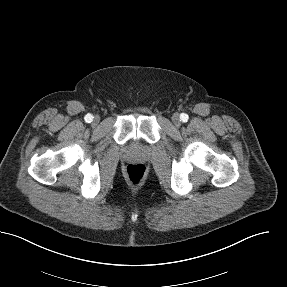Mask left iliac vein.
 I'll use <instances>...</instances> for the list:
<instances>
[{"label": "left iliac vein", "instance_id": "obj_1", "mask_svg": "<svg viewBox=\"0 0 287 287\" xmlns=\"http://www.w3.org/2000/svg\"><path fill=\"white\" fill-rule=\"evenodd\" d=\"M172 122L176 127H179L181 125V119L178 113L173 114Z\"/></svg>", "mask_w": 287, "mask_h": 287}]
</instances>
